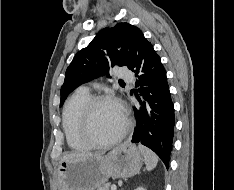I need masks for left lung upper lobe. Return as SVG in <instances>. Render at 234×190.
<instances>
[{
	"label": "left lung upper lobe",
	"instance_id": "5c2ea615",
	"mask_svg": "<svg viewBox=\"0 0 234 190\" xmlns=\"http://www.w3.org/2000/svg\"><path fill=\"white\" fill-rule=\"evenodd\" d=\"M145 40L142 31L128 23L102 29L68 66L61 87L60 106L68 94L81 84L108 74L111 64L130 69Z\"/></svg>",
	"mask_w": 234,
	"mask_h": 190
}]
</instances>
